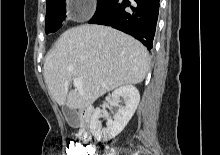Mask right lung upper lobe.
I'll return each instance as SVG.
<instances>
[{"mask_svg": "<svg viewBox=\"0 0 220 155\" xmlns=\"http://www.w3.org/2000/svg\"><path fill=\"white\" fill-rule=\"evenodd\" d=\"M52 1H54V0H47V3H50V2H52Z\"/></svg>", "mask_w": 220, "mask_h": 155, "instance_id": "cb5924a9", "label": "right lung upper lobe"}]
</instances>
